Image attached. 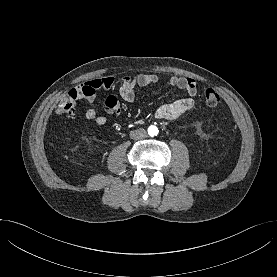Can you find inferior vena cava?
Instances as JSON below:
<instances>
[{"label": "inferior vena cava", "instance_id": "602c4592", "mask_svg": "<svg viewBox=\"0 0 277 277\" xmlns=\"http://www.w3.org/2000/svg\"><path fill=\"white\" fill-rule=\"evenodd\" d=\"M131 139L139 140L146 137V131L143 128H139L130 132Z\"/></svg>", "mask_w": 277, "mask_h": 277}]
</instances>
